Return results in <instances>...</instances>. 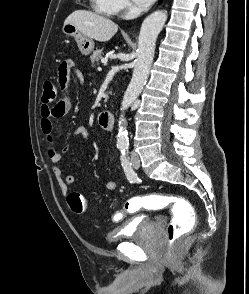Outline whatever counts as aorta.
Wrapping results in <instances>:
<instances>
[{
	"mask_svg": "<svg viewBox=\"0 0 249 294\" xmlns=\"http://www.w3.org/2000/svg\"><path fill=\"white\" fill-rule=\"evenodd\" d=\"M166 20L167 13L165 11H156L149 15L142 23L132 79L125 91L120 108L122 114L118 122L119 129L117 135V145L119 147H127L129 145L124 111L138 98L146 84L154 58L156 40Z\"/></svg>",
	"mask_w": 249,
	"mask_h": 294,
	"instance_id": "762f6f07",
	"label": "aorta"
}]
</instances>
